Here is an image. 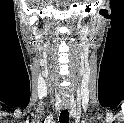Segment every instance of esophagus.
Returning a JSON list of instances; mask_svg holds the SVG:
<instances>
[{"mask_svg":"<svg viewBox=\"0 0 124 123\" xmlns=\"http://www.w3.org/2000/svg\"><path fill=\"white\" fill-rule=\"evenodd\" d=\"M62 108L63 109H68L69 108V103L67 101L63 102Z\"/></svg>","mask_w":124,"mask_h":123,"instance_id":"esophagus-1","label":"esophagus"}]
</instances>
